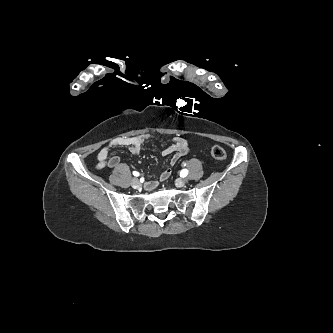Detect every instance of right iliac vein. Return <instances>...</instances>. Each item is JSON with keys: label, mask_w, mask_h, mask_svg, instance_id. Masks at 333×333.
I'll return each mask as SVG.
<instances>
[{"label": "right iliac vein", "mask_w": 333, "mask_h": 333, "mask_svg": "<svg viewBox=\"0 0 333 333\" xmlns=\"http://www.w3.org/2000/svg\"><path fill=\"white\" fill-rule=\"evenodd\" d=\"M131 184H132V186H133L134 188H138V187L140 186V182H139V180H138L137 178H133V179L131 180Z\"/></svg>", "instance_id": "right-iliac-vein-1"}]
</instances>
